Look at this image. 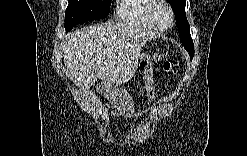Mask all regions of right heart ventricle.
Wrapping results in <instances>:
<instances>
[{
	"mask_svg": "<svg viewBox=\"0 0 247 156\" xmlns=\"http://www.w3.org/2000/svg\"><path fill=\"white\" fill-rule=\"evenodd\" d=\"M155 0H124L118 3L116 14L124 22L154 30L157 29L150 17Z\"/></svg>",
	"mask_w": 247,
	"mask_h": 156,
	"instance_id": "1",
	"label": "right heart ventricle"
}]
</instances>
